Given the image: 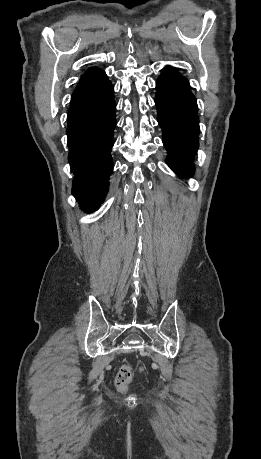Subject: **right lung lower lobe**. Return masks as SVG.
I'll return each mask as SVG.
<instances>
[{"instance_id": "1", "label": "right lung lower lobe", "mask_w": 261, "mask_h": 459, "mask_svg": "<svg viewBox=\"0 0 261 459\" xmlns=\"http://www.w3.org/2000/svg\"><path fill=\"white\" fill-rule=\"evenodd\" d=\"M116 105L109 81L100 89L70 104L67 116L68 160L73 179L72 194L86 212L99 208L113 169Z\"/></svg>"}]
</instances>
